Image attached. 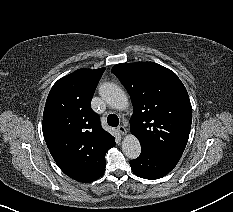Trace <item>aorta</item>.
<instances>
[{"mask_svg": "<svg viewBox=\"0 0 233 212\" xmlns=\"http://www.w3.org/2000/svg\"><path fill=\"white\" fill-rule=\"evenodd\" d=\"M102 99L112 108L124 110L128 107V98L125 92L114 83H103L99 87ZM122 151L129 159H136L141 153V145L137 137L129 134L122 141Z\"/></svg>", "mask_w": 233, "mask_h": 212, "instance_id": "aorta-1", "label": "aorta"}]
</instances>
